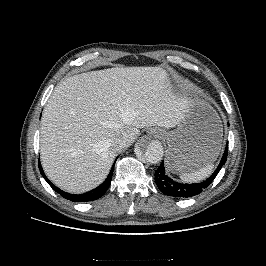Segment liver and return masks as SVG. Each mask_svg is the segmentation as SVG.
Listing matches in <instances>:
<instances>
[{"instance_id":"6515ba94","label":"liver","mask_w":266,"mask_h":266,"mask_svg":"<svg viewBox=\"0 0 266 266\" xmlns=\"http://www.w3.org/2000/svg\"><path fill=\"white\" fill-rule=\"evenodd\" d=\"M188 97L172 91L161 67H124L66 78L54 89L41 119L40 154L47 177L70 193L87 192L107 177L117 151L111 140L141 128H173Z\"/></svg>"}]
</instances>
